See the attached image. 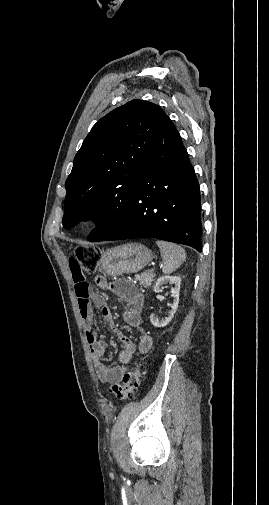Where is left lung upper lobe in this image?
Returning a JSON list of instances; mask_svg holds the SVG:
<instances>
[{"instance_id": "obj_1", "label": "left lung upper lobe", "mask_w": 269, "mask_h": 505, "mask_svg": "<svg viewBox=\"0 0 269 505\" xmlns=\"http://www.w3.org/2000/svg\"><path fill=\"white\" fill-rule=\"evenodd\" d=\"M156 104L132 100L101 118L77 152L65 188L63 227L97 224L90 241L110 235L130 213L132 193L165 118Z\"/></svg>"}]
</instances>
